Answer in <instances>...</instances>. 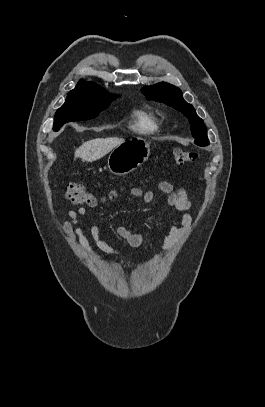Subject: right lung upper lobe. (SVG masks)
<instances>
[{
    "label": "right lung upper lobe",
    "mask_w": 265,
    "mask_h": 407,
    "mask_svg": "<svg viewBox=\"0 0 265 407\" xmlns=\"http://www.w3.org/2000/svg\"><path fill=\"white\" fill-rule=\"evenodd\" d=\"M81 82H86V81H83V80H81V81H79V83H81ZM88 83V82H87ZM93 84V83H92Z\"/></svg>",
    "instance_id": "obj_1"
}]
</instances>
